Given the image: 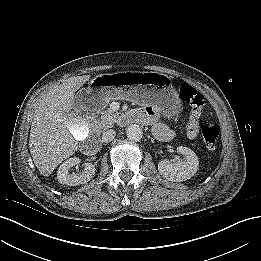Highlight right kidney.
I'll use <instances>...</instances> for the list:
<instances>
[{
    "label": "right kidney",
    "instance_id": "right-kidney-1",
    "mask_svg": "<svg viewBox=\"0 0 261 261\" xmlns=\"http://www.w3.org/2000/svg\"><path fill=\"white\" fill-rule=\"evenodd\" d=\"M78 135V134H77ZM80 136V135H79ZM82 138L86 137V134L81 135ZM80 159L77 157L69 158L63 162L57 172V179L61 184H66L69 186H77L85 184L90 181L95 175V166L92 163H85L84 170L78 174L70 173V168L78 165Z\"/></svg>",
    "mask_w": 261,
    "mask_h": 261
}]
</instances>
